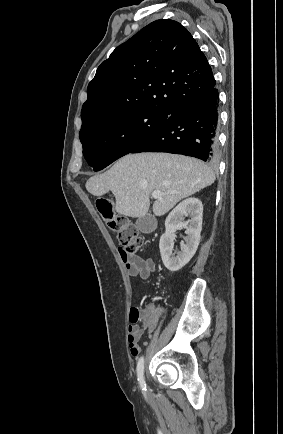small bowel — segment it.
<instances>
[{
	"label": "small bowel",
	"mask_w": 283,
	"mask_h": 434,
	"mask_svg": "<svg viewBox=\"0 0 283 434\" xmlns=\"http://www.w3.org/2000/svg\"><path fill=\"white\" fill-rule=\"evenodd\" d=\"M120 257L125 264L128 274L132 277H139L141 280H147L152 273L156 270V262L153 258L143 259L137 255L126 254L122 249H120ZM154 313V309L148 306L145 309L146 319L144 328L150 330L154 327V322L150 321L151 314ZM143 334V328L138 325L131 324L128 327L127 341L130 346V353L132 356H137L140 352V346L138 342L140 341Z\"/></svg>",
	"instance_id": "c3829d8e"
}]
</instances>
